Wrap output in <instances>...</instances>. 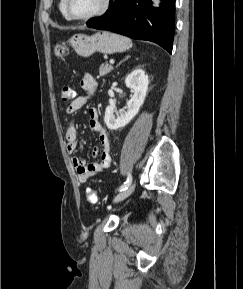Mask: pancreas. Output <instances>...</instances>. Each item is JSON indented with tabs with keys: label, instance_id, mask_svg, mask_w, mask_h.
I'll use <instances>...</instances> for the list:
<instances>
[{
	"label": "pancreas",
	"instance_id": "obj_1",
	"mask_svg": "<svg viewBox=\"0 0 243 289\" xmlns=\"http://www.w3.org/2000/svg\"><path fill=\"white\" fill-rule=\"evenodd\" d=\"M112 70V66L109 64H102L99 68V74L101 76H104L106 74H108L110 71Z\"/></svg>",
	"mask_w": 243,
	"mask_h": 289
}]
</instances>
